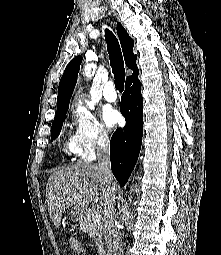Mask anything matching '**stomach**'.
I'll return each mask as SVG.
<instances>
[{"mask_svg":"<svg viewBox=\"0 0 221 255\" xmlns=\"http://www.w3.org/2000/svg\"><path fill=\"white\" fill-rule=\"evenodd\" d=\"M85 208H78L76 206H74L71 209V216L75 219V220H81L84 216L85 213Z\"/></svg>","mask_w":221,"mask_h":255,"instance_id":"0dacf381","label":"stomach"}]
</instances>
